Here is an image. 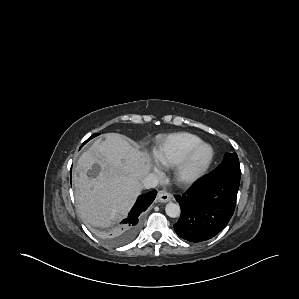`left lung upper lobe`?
<instances>
[{"instance_id":"1","label":"left lung upper lobe","mask_w":299,"mask_h":299,"mask_svg":"<svg viewBox=\"0 0 299 299\" xmlns=\"http://www.w3.org/2000/svg\"><path fill=\"white\" fill-rule=\"evenodd\" d=\"M211 174L240 180L241 170L237 154L226 153L221 164Z\"/></svg>"}]
</instances>
